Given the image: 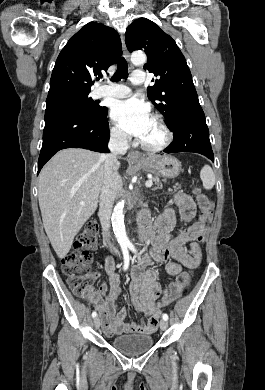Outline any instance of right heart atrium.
<instances>
[{"label":"right heart atrium","mask_w":265,"mask_h":390,"mask_svg":"<svg viewBox=\"0 0 265 390\" xmlns=\"http://www.w3.org/2000/svg\"><path fill=\"white\" fill-rule=\"evenodd\" d=\"M112 140L120 145H125L128 142L127 135L117 126H112L110 129Z\"/></svg>","instance_id":"obj_1"}]
</instances>
